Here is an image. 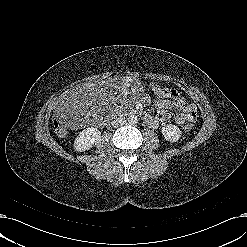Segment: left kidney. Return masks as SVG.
<instances>
[{
	"label": "left kidney",
	"instance_id": "5707ae66",
	"mask_svg": "<svg viewBox=\"0 0 247 247\" xmlns=\"http://www.w3.org/2000/svg\"><path fill=\"white\" fill-rule=\"evenodd\" d=\"M161 132L164 138L170 142H177L181 137V130L173 124H168L165 127H162Z\"/></svg>",
	"mask_w": 247,
	"mask_h": 247
}]
</instances>
